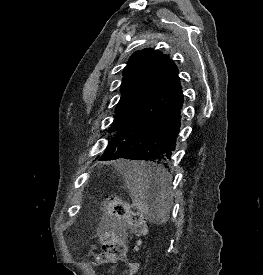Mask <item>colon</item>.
<instances>
[{"instance_id": "obj_1", "label": "colon", "mask_w": 263, "mask_h": 275, "mask_svg": "<svg viewBox=\"0 0 263 275\" xmlns=\"http://www.w3.org/2000/svg\"><path fill=\"white\" fill-rule=\"evenodd\" d=\"M106 207L109 213L121 224L132 229L137 235L144 236L147 234V225L141 213L133 211L118 196L108 195L106 198ZM102 253L97 254L92 261V265L100 267L104 265H114L123 261L126 257V246L123 240L112 231H104L101 235ZM144 248V242L139 241L135 249L140 251ZM138 263L130 265L129 275L137 272Z\"/></svg>"}]
</instances>
